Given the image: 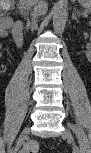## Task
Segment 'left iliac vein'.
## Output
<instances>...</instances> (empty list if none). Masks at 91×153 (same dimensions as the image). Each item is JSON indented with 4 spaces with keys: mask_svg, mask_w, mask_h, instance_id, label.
<instances>
[{
    "mask_svg": "<svg viewBox=\"0 0 91 153\" xmlns=\"http://www.w3.org/2000/svg\"><path fill=\"white\" fill-rule=\"evenodd\" d=\"M63 138H66L68 141H70V136H73L72 132L70 131V129L67 127L65 129V131L62 134ZM74 140V137H73Z\"/></svg>",
    "mask_w": 91,
    "mask_h": 153,
    "instance_id": "4c4485c4",
    "label": "left iliac vein"
}]
</instances>
